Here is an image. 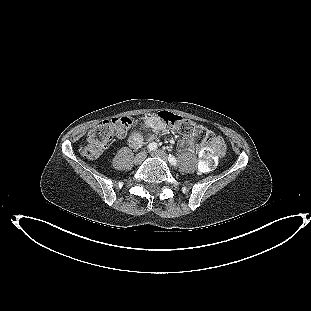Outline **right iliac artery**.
<instances>
[{
  "label": "right iliac artery",
  "mask_w": 311,
  "mask_h": 311,
  "mask_svg": "<svg viewBox=\"0 0 311 311\" xmlns=\"http://www.w3.org/2000/svg\"><path fill=\"white\" fill-rule=\"evenodd\" d=\"M157 148V144L156 143H150L148 146H147V150L148 151H152V150H155Z\"/></svg>",
  "instance_id": "82829eb1"
}]
</instances>
